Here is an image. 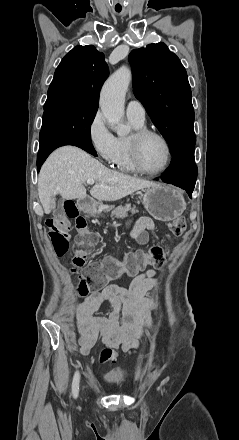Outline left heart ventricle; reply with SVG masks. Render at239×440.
Segmentation results:
<instances>
[{"mask_svg": "<svg viewBox=\"0 0 239 440\" xmlns=\"http://www.w3.org/2000/svg\"><path fill=\"white\" fill-rule=\"evenodd\" d=\"M140 157L147 170L158 171L166 164L167 150L162 140L148 136L141 143Z\"/></svg>", "mask_w": 239, "mask_h": 440, "instance_id": "left-heart-ventricle-1", "label": "left heart ventricle"}]
</instances>
